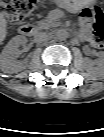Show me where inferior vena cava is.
Masks as SVG:
<instances>
[{"mask_svg":"<svg viewBox=\"0 0 104 137\" xmlns=\"http://www.w3.org/2000/svg\"><path fill=\"white\" fill-rule=\"evenodd\" d=\"M49 35L46 32H36L34 35V40L36 43L44 42L48 39Z\"/></svg>","mask_w":104,"mask_h":137,"instance_id":"602c4592","label":"inferior vena cava"}]
</instances>
